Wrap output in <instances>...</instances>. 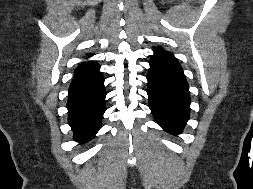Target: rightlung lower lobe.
Listing matches in <instances>:
<instances>
[{"label":"right lung lower lobe","instance_id":"98d812e1","mask_svg":"<svg viewBox=\"0 0 253 189\" xmlns=\"http://www.w3.org/2000/svg\"><path fill=\"white\" fill-rule=\"evenodd\" d=\"M104 78L73 79L68 96V123L74 139L80 143L91 140L100 129L105 112Z\"/></svg>","mask_w":253,"mask_h":189}]
</instances>
